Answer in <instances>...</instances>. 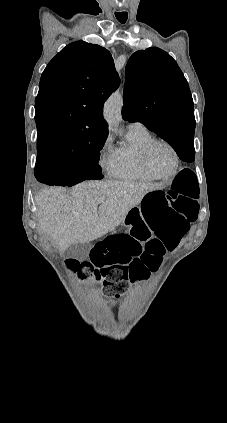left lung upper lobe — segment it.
Listing matches in <instances>:
<instances>
[{
	"mask_svg": "<svg viewBox=\"0 0 227 423\" xmlns=\"http://www.w3.org/2000/svg\"><path fill=\"white\" fill-rule=\"evenodd\" d=\"M124 120L143 123L170 145L193 140L191 92L176 61L152 47L131 55L125 69Z\"/></svg>",
	"mask_w": 227,
	"mask_h": 423,
	"instance_id": "obj_1",
	"label": "left lung upper lobe"
}]
</instances>
